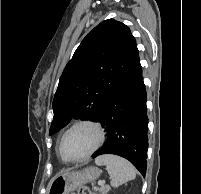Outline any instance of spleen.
I'll return each instance as SVG.
<instances>
[{"mask_svg": "<svg viewBox=\"0 0 201 194\" xmlns=\"http://www.w3.org/2000/svg\"><path fill=\"white\" fill-rule=\"evenodd\" d=\"M95 163L99 166H106L113 187H119L136 177V170L133 165L121 157L106 154L97 157Z\"/></svg>", "mask_w": 201, "mask_h": 194, "instance_id": "1", "label": "spleen"}]
</instances>
